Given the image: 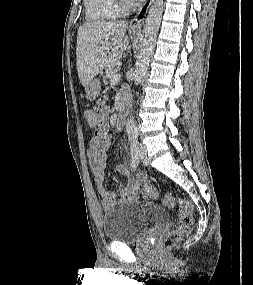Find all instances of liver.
<instances>
[{"instance_id":"6515ba94","label":"liver","mask_w":253,"mask_h":285,"mask_svg":"<svg viewBox=\"0 0 253 285\" xmlns=\"http://www.w3.org/2000/svg\"><path fill=\"white\" fill-rule=\"evenodd\" d=\"M127 23L89 22L79 27L76 64L80 83L86 87L103 69L120 59L128 47Z\"/></svg>"}]
</instances>
